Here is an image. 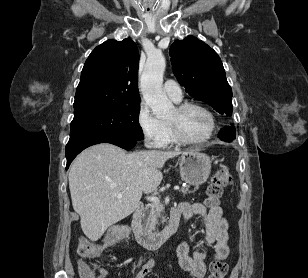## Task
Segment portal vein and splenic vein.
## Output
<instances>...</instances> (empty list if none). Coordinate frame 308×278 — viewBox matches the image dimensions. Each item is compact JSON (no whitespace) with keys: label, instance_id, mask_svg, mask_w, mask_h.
Listing matches in <instances>:
<instances>
[{"label":"portal vein and splenic vein","instance_id":"portal-vein-and-splenic-vein-1","mask_svg":"<svg viewBox=\"0 0 308 278\" xmlns=\"http://www.w3.org/2000/svg\"><path fill=\"white\" fill-rule=\"evenodd\" d=\"M174 190H179V186H175L174 187ZM118 198H121L122 197V194H118L117 195ZM148 200L152 201V202H156V201H159L158 197H155V196H152V197H148Z\"/></svg>","mask_w":308,"mask_h":278}]
</instances>
